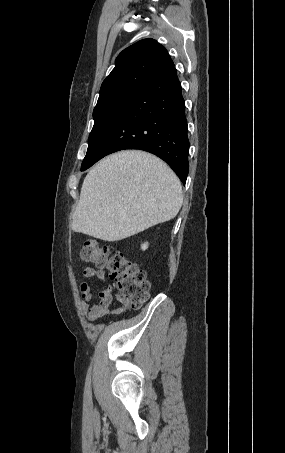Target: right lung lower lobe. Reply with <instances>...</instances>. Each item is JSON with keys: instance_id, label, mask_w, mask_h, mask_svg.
<instances>
[{"instance_id": "right-lung-lower-lobe-1", "label": "right lung lower lobe", "mask_w": 285, "mask_h": 453, "mask_svg": "<svg viewBox=\"0 0 285 453\" xmlns=\"http://www.w3.org/2000/svg\"><path fill=\"white\" fill-rule=\"evenodd\" d=\"M124 149H140L155 154L185 184L189 172V139L185 102L174 66L135 92L88 168L104 156Z\"/></svg>"}]
</instances>
